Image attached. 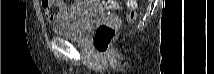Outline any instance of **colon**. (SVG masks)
I'll return each instance as SVG.
<instances>
[{"instance_id":"colon-1","label":"colon","mask_w":214,"mask_h":74,"mask_svg":"<svg viewBox=\"0 0 214 74\" xmlns=\"http://www.w3.org/2000/svg\"><path fill=\"white\" fill-rule=\"evenodd\" d=\"M102 5L109 10H116L119 7V2L117 1H102ZM127 6L129 8V13L127 15L128 21H133L137 16V6L138 1L128 0ZM119 26L117 20L109 21L101 24L95 32L93 43L95 48L101 53L106 54L110 48L111 42L115 36L116 29Z\"/></svg>"}]
</instances>
